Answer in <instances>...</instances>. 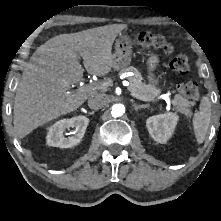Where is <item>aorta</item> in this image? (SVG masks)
<instances>
[{"label":"aorta","mask_w":221,"mask_h":221,"mask_svg":"<svg viewBox=\"0 0 221 221\" xmlns=\"http://www.w3.org/2000/svg\"><path fill=\"white\" fill-rule=\"evenodd\" d=\"M125 113V106L121 103L112 105L111 114L113 117H120Z\"/></svg>","instance_id":"762f6f07"}]
</instances>
